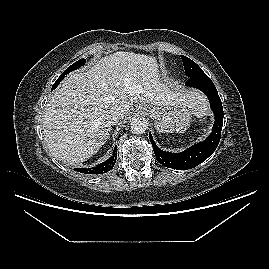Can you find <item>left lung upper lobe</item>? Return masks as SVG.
Returning a JSON list of instances; mask_svg holds the SVG:
<instances>
[{
    "label": "left lung upper lobe",
    "mask_w": 269,
    "mask_h": 269,
    "mask_svg": "<svg viewBox=\"0 0 269 269\" xmlns=\"http://www.w3.org/2000/svg\"><path fill=\"white\" fill-rule=\"evenodd\" d=\"M181 58L183 60V64H184V69H185V74L189 77V78H193L202 74H205L202 69L191 59H189L188 57L181 55Z\"/></svg>",
    "instance_id": "obj_1"
}]
</instances>
